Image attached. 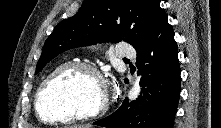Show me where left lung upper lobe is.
<instances>
[{
    "instance_id": "5c2ea615",
    "label": "left lung upper lobe",
    "mask_w": 221,
    "mask_h": 128,
    "mask_svg": "<svg viewBox=\"0 0 221 128\" xmlns=\"http://www.w3.org/2000/svg\"><path fill=\"white\" fill-rule=\"evenodd\" d=\"M159 4L160 0H85L78 13L60 22L47 38L35 73L71 48L122 40L138 47L166 16Z\"/></svg>"
}]
</instances>
